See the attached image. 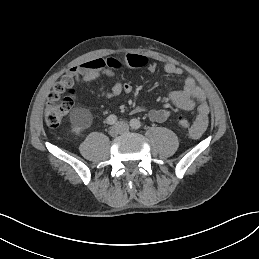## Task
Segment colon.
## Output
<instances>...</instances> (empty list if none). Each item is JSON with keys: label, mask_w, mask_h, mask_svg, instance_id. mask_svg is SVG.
<instances>
[{"label": "colon", "mask_w": 259, "mask_h": 259, "mask_svg": "<svg viewBox=\"0 0 259 259\" xmlns=\"http://www.w3.org/2000/svg\"><path fill=\"white\" fill-rule=\"evenodd\" d=\"M74 81L69 75L63 77L53 86L46 103L45 120L49 127H58L66 114L73 108L76 100ZM177 126L183 132H190L192 123L187 116L177 118Z\"/></svg>", "instance_id": "obj_1"}]
</instances>
